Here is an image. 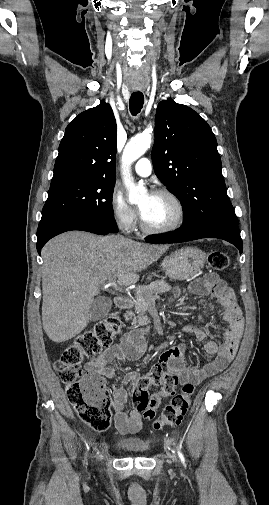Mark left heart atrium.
<instances>
[{
	"instance_id": "obj_1",
	"label": "left heart atrium",
	"mask_w": 269,
	"mask_h": 505,
	"mask_svg": "<svg viewBox=\"0 0 269 505\" xmlns=\"http://www.w3.org/2000/svg\"><path fill=\"white\" fill-rule=\"evenodd\" d=\"M148 196L151 198L153 196V194H149ZM141 213H142V210H141Z\"/></svg>"
}]
</instances>
